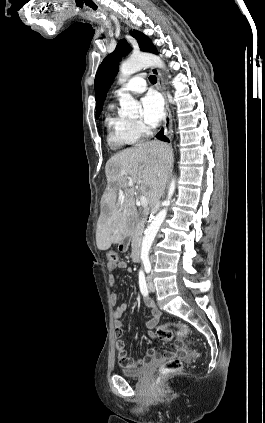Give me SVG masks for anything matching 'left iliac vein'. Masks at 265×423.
Here are the masks:
<instances>
[{
  "mask_svg": "<svg viewBox=\"0 0 265 423\" xmlns=\"http://www.w3.org/2000/svg\"><path fill=\"white\" fill-rule=\"evenodd\" d=\"M147 281H148V289L151 292H154L155 291V286H154L153 281H152V278L150 276L147 277Z\"/></svg>",
  "mask_w": 265,
  "mask_h": 423,
  "instance_id": "obj_1",
  "label": "left iliac vein"
}]
</instances>
